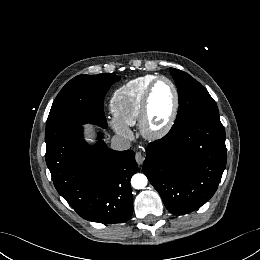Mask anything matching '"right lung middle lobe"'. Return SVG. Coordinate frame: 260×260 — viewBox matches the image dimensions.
<instances>
[{
	"instance_id": "obj_1",
	"label": "right lung middle lobe",
	"mask_w": 260,
	"mask_h": 260,
	"mask_svg": "<svg viewBox=\"0 0 260 260\" xmlns=\"http://www.w3.org/2000/svg\"><path fill=\"white\" fill-rule=\"evenodd\" d=\"M119 76L106 73L79 75L70 80L57 95L46 124V151L51 150L69 131L85 123L107 128L103 101Z\"/></svg>"
}]
</instances>
